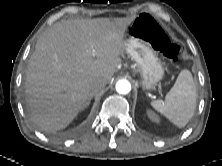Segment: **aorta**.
Returning <instances> with one entry per match:
<instances>
[{"label": "aorta", "mask_w": 222, "mask_h": 166, "mask_svg": "<svg viewBox=\"0 0 222 166\" xmlns=\"http://www.w3.org/2000/svg\"><path fill=\"white\" fill-rule=\"evenodd\" d=\"M116 91L119 94H128L131 91V84L129 81L122 79L116 83Z\"/></svg>", "instance_id": "762f6f07"}]
</instances>
